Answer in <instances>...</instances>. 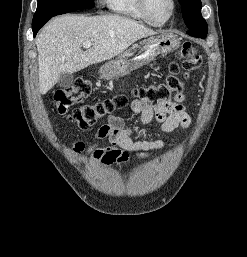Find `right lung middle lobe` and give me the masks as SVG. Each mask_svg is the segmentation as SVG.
Masks as SVG:
<instances>
[{"label":"right lung middle lobe","mask_w":247,"mask_h":257,"mask_svg":"<svg viewBox=\"0 0 247 257\" xmlns=\"http://www.w3.org/2000/svg\"><path fill=\"white\" fill-rule=\"evenodd\" d=\"M94 7V0H38L32 23L49 17Z\"/></svg>","instance_id":"1"}]
</instances>
